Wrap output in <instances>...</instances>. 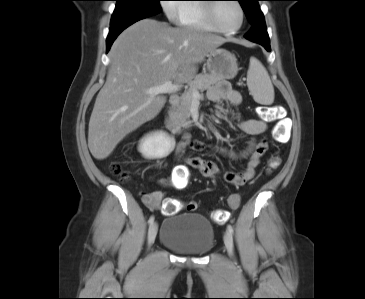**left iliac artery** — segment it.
I'll use <instances>...</instances> for the list:
<instances>
[{
	"instance_id": "left-iliac-artery-1",
	"label": "left iliac artery",
	"mask_w": 365,
	"mask_h": 299,
	"mask_svg": "<svg viewBox=\"0 0 365 299\" xmlns=\"http://www.w3.org/2000/svg\"><path fill=\"white\" fill-rule=\"evenodd\" d=\"M228 231L233 234L234 233V229L231 225H228Z\"/></svg>"
}]
</instances>
